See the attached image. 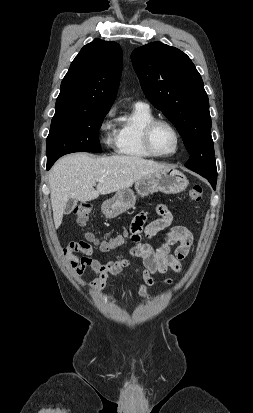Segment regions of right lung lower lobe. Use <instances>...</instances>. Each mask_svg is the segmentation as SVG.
<instances>
[{
  "mask_svg": "<svg viewBox=\"0 0 253 413\" xmlns=\"http://www.w3.org/2000/svg\"><path fill=\"white\" fill-rule=\"evenodd\" d=\"M56 161V160H55ZM55 161H47V170L53 165Z\"/></svg>",
  "mask_w": 253,
  "mask_h": 413,
  "instance_id": "98d812e1",
  "label": "right lung lower lobe"
}]
</instances>
